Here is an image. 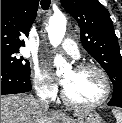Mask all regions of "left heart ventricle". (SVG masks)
Wrapping results in <instances>:
<instances>
[{"mask_svg": "<svg viewBox=\"0 0 122 123\" xmlns=\"http://www.w3.org/2000/svg\"><path fill=\"white\" fill-rule=\"evenodd\" d=\"M64 80L67 94L75 101L93 102L105 93L104 80L94 69H71L64 74Z\"/></svg>", "mask_w": 122, "mask_h": 123, "instance_id": "left-heart-ventricle-1", "label": "left heart ventricle"}]
</instances>
